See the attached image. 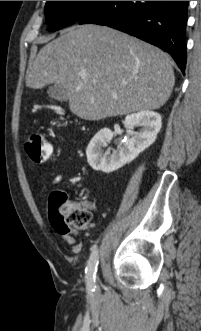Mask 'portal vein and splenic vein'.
<instances>
[{"mask_svg": "<svg viewBox=\"0 0 201 331\" xmlns=\"http://www.w3.org/2000/svg\"><path fill=\"white\" fill-rule=\"evenodd\" d=\"M81 78H82V80H86V79H87L86 74H82V75H81ZM94 82H95V81H94ZM122 84H126V82H123Z\"/></svg>", "mask_w": 201, "mask_h": 331, "instance_id": "1", "label": "portal vein and splenic vein"}]
</instances>
